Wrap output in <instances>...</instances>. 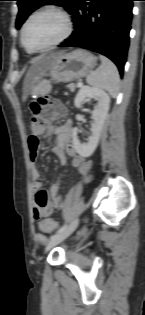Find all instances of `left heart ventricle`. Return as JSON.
<instances>
[{
    "instance_id": "left-heart-ventricle-1",
    "label": "left heart ventricle",
    "mask_w": 145,
    "mask_h": 315,
    "mask_svg": "<svg viewBox=\"0 0 145 315\" xmlns=\"http://www.w3.org/2000/svg\"><path fill=\"white\" fill-rule=\"evenodd\" d=\"M62 32L63 24L57 16L43 14L28 23L25 41L30 47H42L57 39Z\"/></svg>"
}]
</instances>
